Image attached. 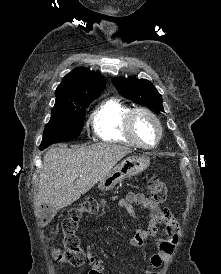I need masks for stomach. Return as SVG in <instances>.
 I'll use <instances>...</instances> for the list:
<instances>
[{
  "instance_id": "1",
  "label": "stomach",
  "mask_w": 221,
  "mask_h": 274,
  "mask_svg": "<svg viewBox=\"0 0 221 274\" xmlns=\"http://www.w3.org/2000/svg\"><path fill=\"white\" fill-rule=\"evenodd\" d=\"M150 165V159L146 156H129L117 164L99 183L102 191L113 189L121 181L131 178Z\"/></svg>"
}]
</instances>
